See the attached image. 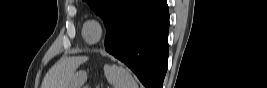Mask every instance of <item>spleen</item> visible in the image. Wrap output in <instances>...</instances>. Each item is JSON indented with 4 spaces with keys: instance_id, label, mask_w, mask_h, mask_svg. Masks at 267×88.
I'll list each match as a JSON object with an SVG mask.
<instances>
[{
    "instance_id": "obj_1",
    "label": "spleen",
    "mask_w": 267,
    "mask_h": 88,
    "mask_svg": "<svg viewBox=\"0 0 267 88\" xmlns=\"http://www.w3.org/2000/svg\"><path fill=\"white\" fill-rule=\"evenodd\" d=\"M104 74L113 88H139L131 73L117 65H105Z\"/></svg>"
}]
</instances>
